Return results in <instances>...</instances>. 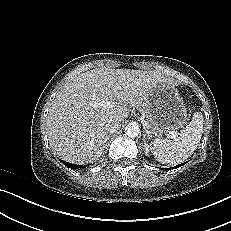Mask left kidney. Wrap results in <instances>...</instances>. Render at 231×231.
Here are the masks:
<instances>
[{"instance_id":"5707ae66","label":"left kidney","mask_w":231,"mask_h":231,"mask_svg":"<svg viewBox=\"0 0 231 231\" xmlns=\"http://www.w3.org/2000/svg\"><path fill=\"white\" fill-rule=\"evenodd\" d=\"M143 150H144V152H145V155H146V156H149L150 146L146 143V141L144 142Z\"/></svg>"}]
</instances>
